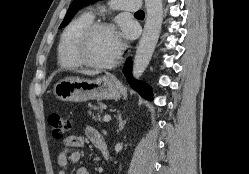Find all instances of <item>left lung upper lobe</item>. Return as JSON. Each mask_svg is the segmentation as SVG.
<instances>
[{
	"label": "left lung upper lobe",
	"instance_id": "5c2ea615",
	"mask_svg": "<svg viewBox=\"0 0 249 174\" xmlns=\"http://www.w3.org/2000/svg\"><path fill=\"white\" fill-rule=\"evenodd\" d=\"M95 1L97 0H74L67 11V14L63 22L61 23L60 28L66 26L73 18V16L78 12V10Z\"/></svg>",
	"mask_w": 249,
	"mask_h": 174
}]
</instances>
